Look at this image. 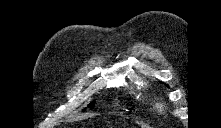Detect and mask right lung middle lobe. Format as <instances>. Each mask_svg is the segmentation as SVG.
<instances>
[{"label":"right lung middle lobe","mask_w":221,"mask_h":128,"mask_svg":"<svg viewBox=\"0 0 221 128\" xmlns=\"http://www.w3.org/2000/svg\"><path fill=\"white\" fill-rule=\"evenodd\" d=\"M94 104H95V102L93 101L88 105V107L92 109L94 107Z\"/></svg>","instance_id":"right-lung-middle-lobe-1"}]
</instances>
